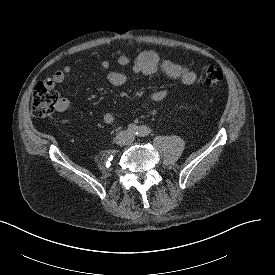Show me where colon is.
<instances>
[{"label": "colon", "mask_w": 275, "mask_h": 275, "mask_svg": "<svg viewBox=\"0 0 275 275\" xmlns=\"http://www.w3.org/2000/svg\"><path fill=\"white\" fill-rule=\"evenodd\" d=\"M204 84L209 88H217L223 81V73L215 66H206L203 69ZM60 103L57 92L46 82L34 85L31 97V112L38 118H49Z\"/></svg>", "instance_id": "5ec220e1"}]
</instances>
